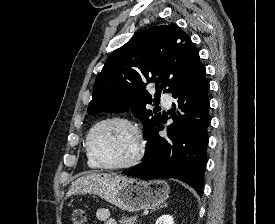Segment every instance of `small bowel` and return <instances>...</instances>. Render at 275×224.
Masks as SVG:
<instances>
[{"label":"small bowel","instance_id":"small-bowel-1","mask_svg":"<svg viewBox=\"0 0 275 224\" xmlns=\"http://www.w3.org/2000/svg\"><path fill=\"white\" fill-rule=\"evenodd\" d=\"M95 216L96 219L103 224H117L116 220L110 217V213L107 209H98Z\"/></svg>","mask_w":275,"mask_h":224}]
</instances>
